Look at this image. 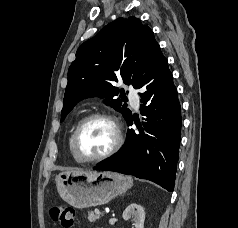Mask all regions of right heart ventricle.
<instances>
[{
  "label": "right heart ventricle",
  "mask_w": 238,
  "mask_h": 228,
  "mask_svg": "<svg viewBox=\"0 0 238 228\" xmlns=\"http://www.w3.org/2000/svg\"><path fill=\"white\" fill-rule=\"evenodd\" d=\"M78 123H79V122L77 121V122L73 125V127H72V129H71V132H70V134H69V137H68V147H69V150H70V152H71V154H72V156H73V158H74V160H75L76 162H79V161H77V160L75 159V157H74V155H73V152H72V139H73V134H74V131H75L76 126H77Z\"/></svg>",
  "instance_id": "obj_1"
}]
</instances>
